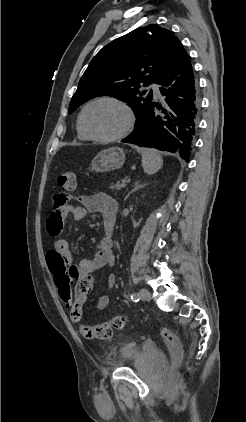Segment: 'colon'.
Returning <instances> with one entry per match:
<instances>
[{
  "mask_svg": "<svg viewBox=\"0 0 246 422\" xmlns=\"http://www.w3.org/2000/svg\"><path fill=\"white\" fill-rule=\"evenodd\" d=\"M60 188L66 191H72L76 186L75 174L67 171L61 173L57 178ZM47 264L53 275L54 283L58 289V294L62 302L70 312L72 323L76 324L81 334L87 339L108 340L112 337L115 329H122L125 320L122 317H115L111 321L104 322L95 326L85 325L83 323V306L88 298L93 286V276L84 275L76 278L77 282L74 290H71L72 270L67 264L65 258L55 249L47 253ZM161 336L175 359L182 356L181 344L176 336L168 328L161 329Z\"/></svg>",
  "mask_w": 246,
  "mask_h": 422,
  "instance_id": "obj_1",
  "label": "colon"
}]
</instances>
